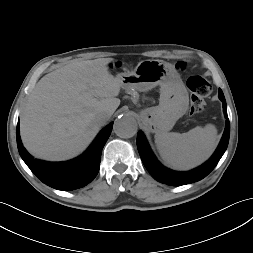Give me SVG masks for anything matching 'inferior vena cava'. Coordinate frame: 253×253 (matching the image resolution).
I'll return each instance as SVG.
<instances>
[{
  "instance_id": "602c4592",
  "label": "inferior vena cava",
  "mask_w": 253,
  "mask_h": 253,
  "mask_svg": "<svg viewBox=\"0 0 253 253\" xmlns=\"http://www.w3.org/2000/svg\"><path fill=\"white\" fill-rule=\"evenodd\" d=\"M110 118V115L106 112H101V113H98L96 116H95V121L97 124L99 125H103L105 124V122Z\"/></svg>"
}]
</instances>
